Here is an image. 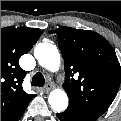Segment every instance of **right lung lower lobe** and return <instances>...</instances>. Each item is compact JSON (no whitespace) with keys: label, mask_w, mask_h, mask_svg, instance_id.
I'll list each match as a JSON object with an SVG mask.
<instances>
[{"label":"right lung lower lobe","mask_w":121,"mask_h":121,"mask_svg":"<svg viewBox=\"0 0 121 121\" xmlns=\"http://www.w3.org/2000/svg\"><path fill=\"white\" fill-rule=\"evenodd\" d=\"M26 107L19 114H17L15 117H13L10 121H18L21 118V116L23 115Z\"/></svg>","instance_id":"obj_1"}]
</instances>
